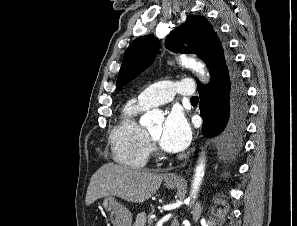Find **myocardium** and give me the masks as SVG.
<instances>
[{
  "label": "myocardium",
  "mask_w": 297,
  "mask_h": 226,
  "mask_svg": "<svg viewBox=\"0 0 297 226\" xmlns=\"http://www.w3.org/2000/svg\"><path fill=\"white\" fill-rule=\"evenodd\" d=\"M146 133H147L149 143L154 145L156 143V139H154L149 132L146 131Z\"/></svg>",
  "instance_id": "f54148a6"
}]
</instances>
